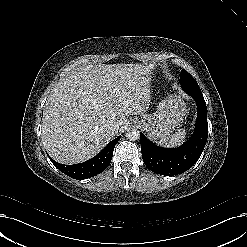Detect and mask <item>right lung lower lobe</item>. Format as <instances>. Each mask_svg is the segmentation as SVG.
Instances as JSON below:
<instances>
[{
  "label": "right lung lower lobe",
  "mask_w": 247,
  "mask_h": 247,
  "mask_svg": "<svg viewBox=\"0 0 247 247\" xmlns=\"http://www.w3.org/2000/svg\"><path fill=\"white\" fill-rule=\"evenodd\" d=\"M120 137H117L92 159L74 165H63L51 159L52 163L64 174L74 179L82 180L102 173L110 164L113 150Z\"/></svg>",
  "instance_id": "obj_1"
}]
</instances>
